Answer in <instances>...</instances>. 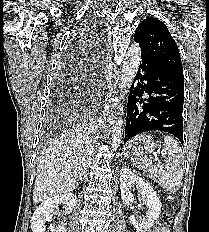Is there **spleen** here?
Wrapping results in <instances>:
<instances>
[{
  "label": "spleen",
  "instance_id": "spleen-1",
  "mask_svg": "<svg viewBox=\"0 0 209 232\" xmlns=\"http://www.w3.org/2000/svg\"><path fill=\"white\" fill-rule=\"evenodd\" d=\"M162 155L164 164L153 165L148 159L139 160L141 169L154 176L158 184L169 193H176L184 175V156L178 142L170 136H165Z\"/></svg>",
  "mask_w": 209,
  "mask_h": 232
}]
</instances>
